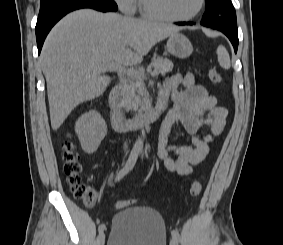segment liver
I'll list each match as a JSON object with an SVG mask.
<instances>
[{
  "label": "liver",
  "mask_w": 283,
  "mask_h": 245,
  "mask_svg": "<svg viewBox=\"0 0 283 245\" xmlns=\"http://www.w3.org/2000/svg\"><path fill=\"white\" fill-rule=\"evenodd\" d=\"M177 27L116 13L82 9L66 15L48 34L40 55L47 82L50 120L58 130L80 103L104 93L111 62L136 65Z\"/></svg>",
  "instance_id": "6515ba94"
}]
</instances>
